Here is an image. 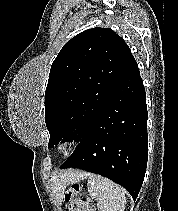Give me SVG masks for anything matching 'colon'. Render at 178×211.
Here are the masks:
<instances>
[{
    "instance_id": "obj_1",
    "label": "colon",
    "mask_w": 178,
    "mask_h": 211,
    "mask_svg": "<svg viewBox=\"0 0 178 211\" xmlns=\"http://www.w3.org/2000/svg\"><path fill=\"white\" fill-rule=\"evenodd\" d=\"M82 187L79 183H74L70 189L64 194V200L68 205L69 211H76L75 197L80 193Z\"/></svg>"
}]
</instances>
